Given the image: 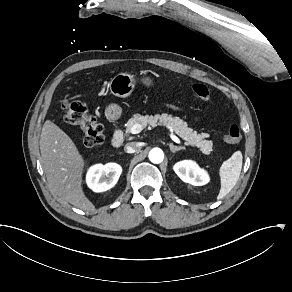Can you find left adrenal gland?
<instances>
[{"instance_id":"1","label":"left adrenal gland","mask_w":292,"mask_h":292,"mask_svg":"<svg viewBox=\"0 0 292 292\" xmlns=\"http://www.w3.org/2000/svg\"><path fill=\"white\" fill-rule=\"evenodd\" d=\"M169 146H170V150H171L174 154H175L176 152H178V151H184V150H186V149L183 148V147H180V148L176 147L173 143H170Z\"/></svg>"}]
</instances>
